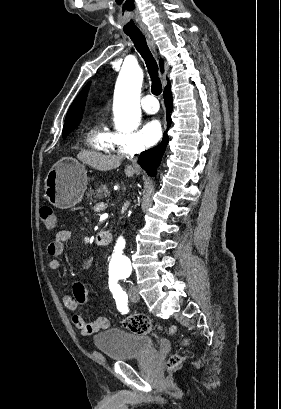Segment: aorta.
<instances>
[{"label": "aorta", "instance_id": "1", "mask_svg": "<svg viewBox=\"0 0 281 409\" xmlns=\"http://www.w3.org/2000/svg\"><path fill=\"white\" fill-rule=\"evenodd\" d=\"M142 79L139 67H122L113 104L115 127L119 131L131 132L139 123Z\"/></svg>", "mask_w": 281, "mask_h": 409}]
</instances>
